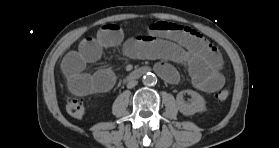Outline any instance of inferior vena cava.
<instances>
[{
  "mask_svg": "<svg viewBox=\"0 0 279 148\" xmlns=\"http://www.w3.org/2000/svg\"><path fill=\"white\" fill-rule=\"evenodd\" d=\"M137 84H138V82L136 80H131L128 82L127 88L131 89V88L135 87Z\"/></svg>",
  "mask_w": 279,
  "mask_h": 148,
  "instance_id": "602c4592",
  "label": "inferior vena cava"
}]
</instances>
